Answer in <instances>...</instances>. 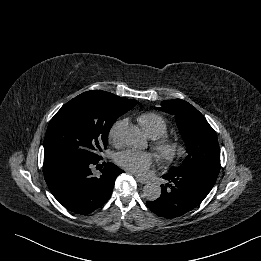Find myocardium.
Here are the masks:
<instances>
[{"instance_id":"f54148a6","label":"myocardium","mask_w":261,"mask_h":261,"mask_svg":"<svg viewBox=\"0 0 261 261\" xmlns=\"http://www.w3.org/2000/svg\"><path fill=\"white\" fill-rule=\"evenodd\" d=\"M152 148L161 163H169L178 155L180 145L175 138L161 137L152 143Z\"/></svg>"}]
</instances>
